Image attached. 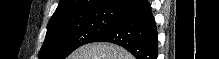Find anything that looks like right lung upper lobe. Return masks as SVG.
Masks as SVG:
<instances>
[{"label": "right lung upper lobe", "mask_w": 219, "mask_h": 59, "mask_svg": "<svg viewBox=\"0 0 219 59\" xmlns=\"http://www.w3.org/2000/svg\"><path fill=\"white\" fill-rule=\"evenodd\" d=\"M123 0H60L50 20L93 10H110Z\"/></svg>", "instance_id": "1"}]
</instances>
